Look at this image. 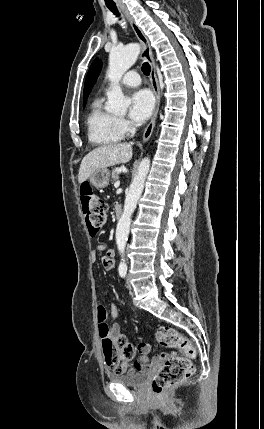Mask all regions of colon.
Instances as JSON below:
<instances>
[{
	"label": "colon",
	"mask_w": 264,
	"mask_h": 429,
	"mask_svg": "<svg viewBox=\"0 0 264 429\" xmlns=\"http://www.w3.org/2000/svg\"><path fill=\"white\" fill-rule=\"evenodd\" d=\"M82 210L91 235H95L104 225L107 217V205L97 196L90 185L83 184L80 188ZM106 320V312L99 309L98 321ZM156 340L164 347L177 349L181 355L172 354L165 360L152 381V390L162 395L180 385L193 374L191 359L195 356L194 345L177 330L171 327H160L155 332ZM105 361L115 372H123V364L133 357V348L123 336L108 338L103 344Z\"/></svg>",
	"instance_id": "colon-1"
}]
</instances>
